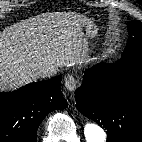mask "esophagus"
<instances>
[{
	"mask_svg": "<svg viewBox=\"0 0 142 142\" xmlns=\"http://www.w3.org/2000/svg\"><path fill=\"white\" fill-rule=\"evenodd\" d=\"M77 86V80L73 75H68L65 78V87L69 90V91H74L76 89Z\"/></svg>",
	"mask_w": 142,
	"mask_h": 142,
	"instance_id": "esophagus-1",
	"label": "esophagus"
}]
</instances>
